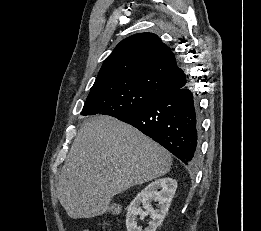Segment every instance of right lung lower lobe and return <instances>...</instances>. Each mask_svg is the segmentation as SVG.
<instances>
[{"instance_id": "1", "label": "right lung lower lobe", "mask_w": 261, "mask_h": 231, "mask_svg": "<svg viewBox=\"0 0 261 231\" xmlns=\"http://www.w3.org/2000/svg\"><path fill=\"white\" fill-rule=\"evenodd\" d=\"M151 137L186 165L199 154L201 128L197 94L188 86L169 92L149 105L117 118Z\"/></svg>"}]
</instances>
